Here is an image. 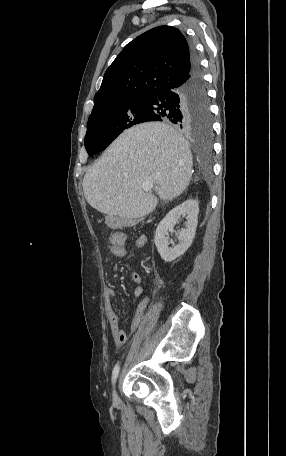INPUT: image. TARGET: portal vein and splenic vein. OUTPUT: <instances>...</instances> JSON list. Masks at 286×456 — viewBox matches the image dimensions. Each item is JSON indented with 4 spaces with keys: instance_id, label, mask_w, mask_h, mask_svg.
Returning <instances> with one entry per match:
<instances>
[{
    "instance_id": "obj_1",
    "label": "portal vein and splenic vein",
    "mask_w": 286,
    "mask_h": 456,
    "mask_svg": "<svg viewBox=\"0 0 286 456\" xmlns=\"http://www.w3.org/2000/svg\"><path fill=\"white\" fill-rule=\"evenodd\" d=\"M153 187L154 183L152 181H145L142 183V189L145 192L150 191Z\"/></svg>"
}]
</instances>
